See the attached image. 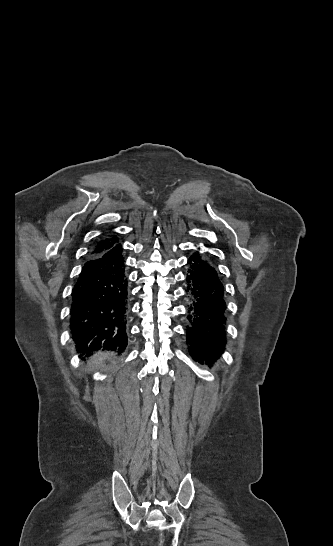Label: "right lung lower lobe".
Masks as SVG:
<instances>
[{"label":"right lung lower lobe","instance_id":"98d812e1","mask_svg":"<svg viewBox=\"0 0 333 546\" xmlns=\"http://www.w3.org/2000/svg\"><path fill=\"white\" fill-rule=\"evenodd\" d=\"M121 245L91 257L72 291L70 331L80 356L127 346L128 278Z\"/></svg>","mask_w":333,"mask_h":546}]
</instances>
